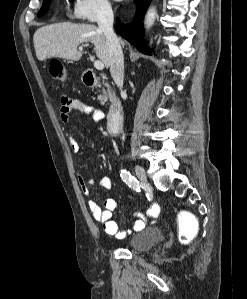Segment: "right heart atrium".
I'll list each match as a JSON object with an SVG mask.
<instances>
[{
  "mask_svg": "<svg viewBox=\"0 0 247 299\" xmlns=\"http://www.w3.org/2000/svg\"><path fill=\"white\" fill-rule=\"evenodd\" d=\"M112 14L109 0H72L70 16L74 19L95 22Z\"/></svg>",
  "mask_w": 247,
  "mask_h": 299,
  "instance_id": "d8ad5b80",
  "label": "right heart atrium"
}]
</instances>
